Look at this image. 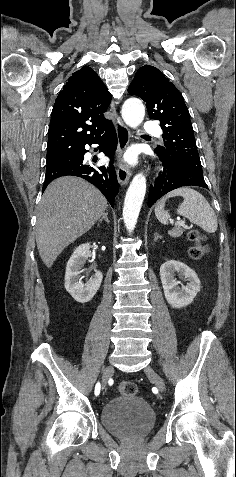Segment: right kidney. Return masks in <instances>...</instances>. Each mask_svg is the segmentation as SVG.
<instances>
[{
	"mask_svg": "<svg viewBox=\"0 0 236 477\" xmlns=\"http://www.w3.org/2000/svg\"><path fill=\"white\" fill-rule=\"evenodd\" d=\"M89 256L90 244H82L75 249L66 266L65 289L80 303L89 302L94 297L103 279L99 271H96L86 284L79 279V274Z\"/></svg>",
	"mask_w": 236,
	"mask_h": 477,
	"instance_id": "ca27d5eb",
	"label": "right kidney"
}]
</instances>
